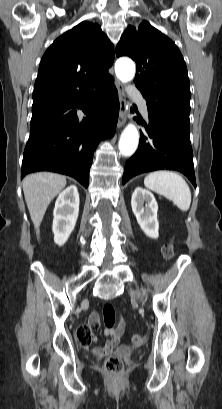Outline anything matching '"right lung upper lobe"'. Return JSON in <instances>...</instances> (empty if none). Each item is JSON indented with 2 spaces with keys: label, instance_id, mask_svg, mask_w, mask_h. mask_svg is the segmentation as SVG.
I'll use <instances>...</instances> for the list:
<instances>
[{
  "label": "right lung upper lobe",
  "instance_id": "cb5924a9",
  "mask_svg": "<svg viewBox=\"0 0 222 409\" xmlns=\"http://www.w3.org/2000/svg\"><path fill=\"white\" fill-rule=\"evenodd\" d=\"M114 46L97 23L83 21L57 38L39 65L32 110L75 100L109 77Z\"/></svg>",
  "mask_w": 222,
  "mask_h": 409
}]
</instances>
